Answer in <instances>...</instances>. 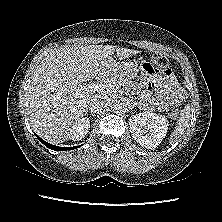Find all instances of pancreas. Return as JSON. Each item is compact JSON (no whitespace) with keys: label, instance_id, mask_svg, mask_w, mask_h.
Here are the masks:
<instances>
[{"label":"pancreas","instance_id":"obj_1","mask_svg":"<svg viewBox=\"0 0 222 222\" xmlns=\"http://www.w3.org/2000/svg\"><path fill=\"white\" fill-rule=\"evenodd\" d=\"M105 83L118 84L119 86H121L124 84V78L120 75L113 74L106 80Z\"/></svg>","mask_w":222,"mask_h":222}]
</instances>
